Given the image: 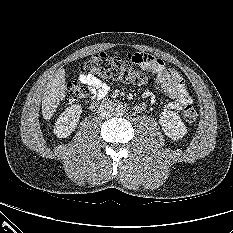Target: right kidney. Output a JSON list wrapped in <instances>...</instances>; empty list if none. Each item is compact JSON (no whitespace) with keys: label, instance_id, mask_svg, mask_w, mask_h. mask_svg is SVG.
Masks as SVG:
<instances>
[{"label":"right kidney","instance_id":"1","mask_svg":"<svg viewBox=\"0 0 233 233\" xmlns=\"http://www.w3.org/2000/svg\"><path fill=\"white\" fill-rule=\"evenodd\" d=\"M82 107L80 105H71L66 108L57 119L54 126V133L58 138L68 137L76 128Z\"/></svg>","mask_w":233,"mask_h":233}]
</instances>
